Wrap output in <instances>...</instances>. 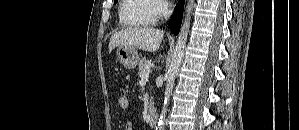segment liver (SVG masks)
<instances>
[{
	"label": "liver",
	"instance_id": "1",
	"mask_svg": "<svg viewBox=\"0 0 299 130\" xmlns=\"http://www.w3.org/2000/svg\"><path fill=\"white\" fill-rule=\"evenodd\" d=\"M164 32L155 28H125L113 34L109 42V52L116 47L139 48L148 52H155L159 49Z\"/></svg>",
	"mask_w": 299,
	"mask_h": 130
}]
</instances>
